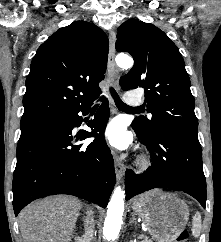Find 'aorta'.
Listing matches in <instances>:
<instances>
[{"mask_svg": "<svg viewBox=\"0 0 221 242\" xmlns=\"http://www.w3.org/2000/svg\"><path fill=\"white\" fill-rule=\"evenodd\" d=\"M116 64L119 68L127 70L133 66V59L127 55H119L116 57ZM124 193L120 186L116 187L108 204L107 216L103 227V235L107 241H115L121 229L124 212Z\"/></svg>", "mask_w": 221, "mask_h": 242, "instance_id": "762f6f07", "label": "aorta"}]
</instances>
